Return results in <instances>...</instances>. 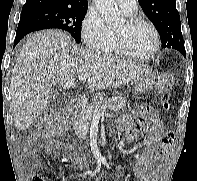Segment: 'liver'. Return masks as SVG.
Returning <instances> with one entry per match:
<instances>
[{
    "label": "liver",
    "instance_id": "6515ba94",
    "mask_svg": "<svg viewBox=\"0 0 197 181\" xmlns=\"http://www.w3.org/2000/svg\"><path fill=\"white\" fill-rule=\"evenodd\" d=\"M145 65L100 56L77 47L61 31L46 30L32 35L23 45L10 81L13 121L25 130L42 113L53 85L74 88V75L86 74L90 90L117 88L134 80Z\"/></svg>",
    "mask_w": 197,
    "mask_h": 181
}]
</instances>
